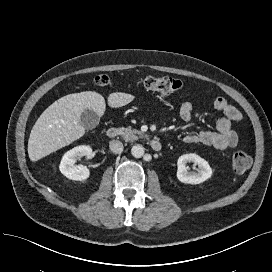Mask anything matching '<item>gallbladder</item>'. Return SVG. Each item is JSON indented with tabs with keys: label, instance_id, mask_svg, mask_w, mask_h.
<instances>
[{
	"label": "gallbladder",
	"instance_id": "gallbladder-1",
	"mask_svg": "<svg viewBox=\"0 0 272 272\" xmlns=\"http://www.w3.org/2000/svg\"><path fill=\"white\" fill-rule=\"evenodd\" d=\"M99 121V116L91 109H85L80 116L81 124L88 130L94 129L99 124Z\"/></svg>",
	"mask_w": 272,
	"mask_h": 272
}]
</instances>
